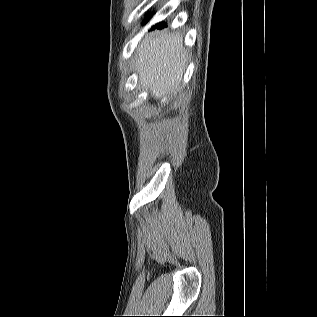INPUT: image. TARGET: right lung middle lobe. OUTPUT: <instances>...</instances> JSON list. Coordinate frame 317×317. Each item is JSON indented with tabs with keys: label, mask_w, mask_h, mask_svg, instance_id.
<instances>
[{
	"label": "right lung middle lobe",
	"mask_w": 317,
	"mask_h": 317,
	"mask_svg": "<svg viewBox=\"0 0 317 317\" xmlns=\"http://www.w3.org/2000/svg\"><path fill=\"white\" fill-rule=\"evenodd\" d=\"M163 25H164V23L156 24V25L153 27V29H154V28H162Z\"/></svg>",
	"instance_id": "obj_1"
}]
</instances>
